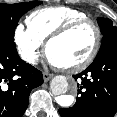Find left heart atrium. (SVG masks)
Segmentation results:
<instances>
[{"mask_svg": "<svg viewBox=\"0 0 117 117\" xmlns=\"http://www.w3.org/2000/svg\"><path fill=\"white\" fill-rule=\"evenodd\" d=\"M48 60H49L51 65L56 66V67H61L58 64H56L55 62H53L50 58Z\"/></svg>", "mask_w": 117, "mask_h": 117, "instance_id": "left-heart-atrium-1", "label": "left heart atrium"}]
</instances>
